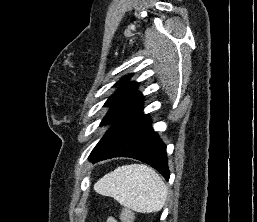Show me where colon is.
Returning a JSON list of instances; mask_svg holds the SVG:
<instances>
[{
  "instance_id": "5ec220e1",
  "label": "colon",
  "mask_w": 257,
  "mask_h": 222,
  "mask_svg": "<svg viewBox=\"0 0 257 222\" xmlns=\"http://www.w3.org/2000/svg\"><path fill=\"white\" fill-rule=\"evenodd\" d=\"M121 222H133V213L128 208H123L120 214Z\"/></svg>"
}]
</instances>
